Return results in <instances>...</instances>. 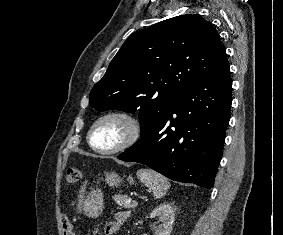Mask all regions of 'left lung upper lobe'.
Wrapping results in <instances>:
<instances>
[{"label":"left lung upper lobe","mask_w":283,"mask_h":235,"mask_svg":"<svg viewBox=\"0 0 283 235\" xmlns=\"http://www.w3.org/2000/svg\"><path fill=\"white\" fill-rule=\"evenodd\" d=\"M227 62L220 37L199 15H181L132 34L90 93L98 111H139L141 136L180 93Z\"/></svg>","instance_id":"1"}]
</instances>
